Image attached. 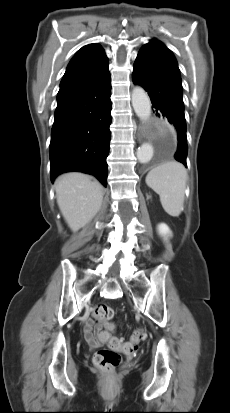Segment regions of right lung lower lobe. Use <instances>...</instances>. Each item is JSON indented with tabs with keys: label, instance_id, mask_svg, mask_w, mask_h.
Instances as JSON below:
<instances>
[{
	"label": "right lung lower lobe",
	"instance_id": "obj_1",
	"mask_svg": "<svg viewBox=\"0 0 230 413\" xmlns=\"http://www.w3.org/2000/svg\"><path fill=\"white\" fill-rule=\"evenodd\" d=\"M109 70L100 76L61 87L51 131V180L68 171L96 176L107 186L111 124Z\"/></svg>",
	"mask_w": 230,
	"mask_h": 413
}]
</instances>
